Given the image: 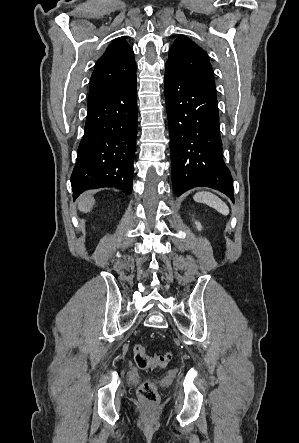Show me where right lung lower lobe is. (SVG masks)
<instances>
[{"instance_id":"obj_1","label":"right lung lower lobe","mask_w":299,"mask_h":443,"mask_svg":"<svg viewBox=\"0 0 299 443\" xmlns=\"http://www.w3.org/2000/svg\"><path fill=\"white\" fill-rule=\"evenodd\" d=\"M137 128L136 76L88 105L84 136L71 175L73 197L87 189L132 190Z\"/></svg>"}]
</instances>
